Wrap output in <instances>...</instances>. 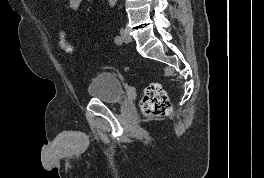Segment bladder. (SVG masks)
Segmentation results:
<instances>
[{
  "mask_svg": "<svg viewBox=\"0 0 264 178\" xmlns=\"http://www.w3.org/2000/svg\"><path fill=\"white\" fill-rule=\"evenodd\" d=\"M87 94L91 99L117 105L123 101L124 88L115 75L110 72H100L89 82Z\"/></svg>",
  "mask_w": 264,
  "mask_h": 178,
  "instance_id": "bladder-1",
  "label": "bladder"
}]
</instances>
